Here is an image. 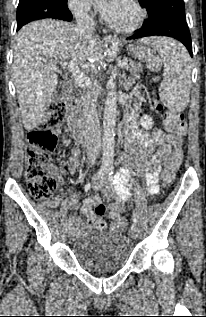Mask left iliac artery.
<instances>
[{"label":"left iliac artery","mask_w":206,"mask_h":317,"mask_svg":"<svg viewBox=\"0 0 206 317\" xmlns=\"http://www.w3.org/2000/svg\"><path fill=\"white\" fill-rule=\"evenodd\" d=\"M107 172H108L109 175L113 174V168L110 167V168L107 170ZM132 218H133V222H134V223H138V215H137V213L134 212Z\"/></svg>","instance_id":"44dca946"}]
</instances>
